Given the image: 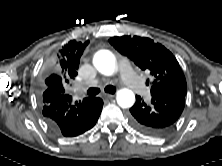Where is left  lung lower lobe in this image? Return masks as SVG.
<instances>
[{
  "instance_id": "0a47b994",
  "label": "left lung lower lobe",
  "mask_w": 222,
  "mask_h": 166,
  "mask_svg": "<svg viewBox=\"0 0 222 166\" xmlns=\"http://www.w3.org/2000/svg\"><path fill=\"white\" fill-rule=\"evenodd\" d=\"M186 94L175 91H162L151 94V101L145 102L136 96L130 108V123L137 131L152 136L166 134L180 117Z\"/></svg>"
}]
</instances>
